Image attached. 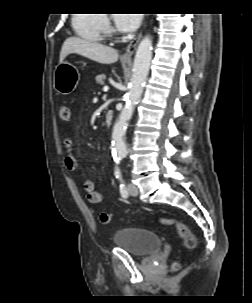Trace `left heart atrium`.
<instances>
[{
  "mask_svg": "<svg viewBox=\"0 0 252 303\" xmlns=\"http://www.w3.org/2000/svg\"><path fill=\"white\" fill-rule=\"evenodd\" d=\"M141 21L140 14H115L114 22L122 32H132L136 30Z\"/></svg>",
  "mask_w": 252,
  "mask_h": 303,
  "instance_id": "39dd6f15",
  "label": "left heart atrium"
}]
</instances>
